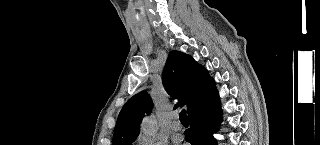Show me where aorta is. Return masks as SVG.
I'll return each mask as SVG.
<instances>
[{
	"instance_id": "762f6f07",
	"label": "aorta",
	"mask_w": 320,
	"mask_h": 145,
	"mask_svg": "<svg viewBox=\"0 0 320 145\" xmlns=\"http://www.w3.org/2000/svg\"><path fill=\"white\" fill-rule=\"evenodd\" d=\"M142 130L144 133L154 135L157 131V124L154 116H148L142 123Z\"/></svg>"
}]
</instances>
